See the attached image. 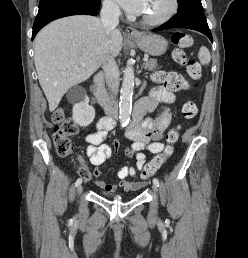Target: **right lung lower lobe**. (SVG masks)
Returning a JSON list of instances; mask_svg holds the SVG:
<instances>
[{"label": "right lung lower lobe", "mask_w": 248, "mask_h": 258, "mask_svg": "<svg viewBox=\"0 0 248 258\" xmlns=\"http://www.w3.org/2000/svg\"><path fill=\"white\" fill-rule=\"evenodd\" d=\"M100 0H54L39 6L34 21L32 40L37 32L49 22L70 15H96Z\"/></svg>", "instance_id": "right-lung-lower-lobe-1"}]
</instances>
